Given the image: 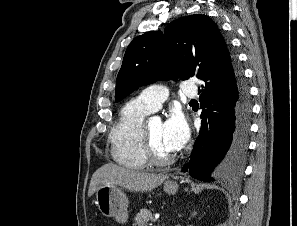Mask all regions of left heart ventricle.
<instances>
[{
	"mask_svg": "<svg viewBox=\"0 0 297 226\" xmlns=\"http://www.w3.org/2000/svg\"><path fill=\"white\" fill-rule=\"evenodd\" d=\"M148 130L154 148L161 156H170L172 154L163 143V123L152 121L148 123Z\"/></svg>",
	"mask_w": 297,
	"mask_h": 226,
	"instance_id": "left-heart-ventricle-1",
	"label": "left heart ventricle"
}]
</instances>
